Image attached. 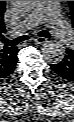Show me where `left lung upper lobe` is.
I'll use <instances>...</instances> for the list:
<instances>
[{
    "label": "left lung upper lobe",
    "instance_id": "obj_1",
    "mask_svg": "<svg viewBox=\"0 0 74 122\" xmlns=\"http://www.w3.org/2000/svg\"><path fill=\"white\" fill-rule=\"evenodd\" d=\"M71 14H72V26L74 27V1H69Z\"/></svg>",
    "mask_w": 74,
    "mask_h": 122
}]
</instances>
